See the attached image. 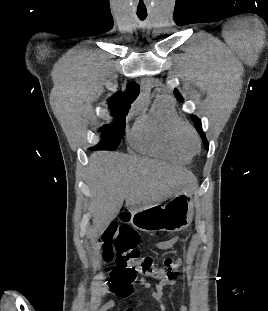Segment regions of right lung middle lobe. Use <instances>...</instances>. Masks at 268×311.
<instances>
[{
    "mask_svg": "<svg viewBox=\"0 0 268 311\" xmlns=\"http://www.w3.org/2000/svg\"><path fill=\"white\" fill-rule=\"evenodd\" d=\"M127 112H116L111 110V115L114 116V121L110 125H105L100 128L101 140L100 142L90 148L91 150H115L121 140V136L125 131V115Z\"/></svg>",
    "mask_w": 268,
    "mask_h": 311,
    "instance_id": "obj_1",
    "label": "right lung middle lobe"
}]
</instances>
